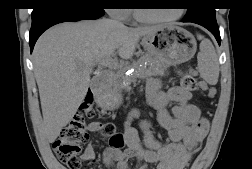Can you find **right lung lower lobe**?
Wrapping results in <instances>:
<instances>
[{"mask_svg":"<svg viewBox=\"0 0 252 169\" xmlns=\"http://www.w3.org/2000/svg\"><path fill=\"white\" fill-rule=\"evenodd\" d=\"M102 8L79 2L78 0H46V3L34 8L29 45L31 52L39 36L58 23L98 19L104 15Z\"/></svg>","mask_w":252,"mask_h":169,"instance_id":"98d812e1","label":"right lung lower lobe"}]
</instances>
